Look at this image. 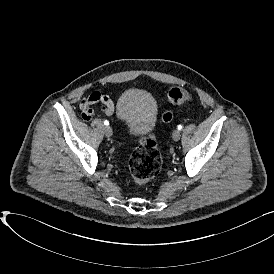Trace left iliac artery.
Instances as JSON below:
<instances>
[{"instance_id": "44dca946", "label": "left iliac artery", "mask_w": 274, "mask_h": 274, "mask_svg": "<svg viewBox=\"0 0 274 274\" xmlns=\"http://www.w3.org/2000/svg\"><path fill=\"white\" fill-rule=\"evenodd\" d=\"M178 130H181L182 128H183V126L182 125H178Z\"/></svg>"}]
</instances>
